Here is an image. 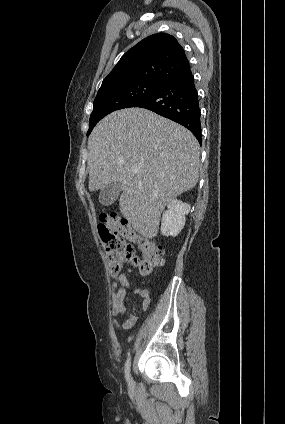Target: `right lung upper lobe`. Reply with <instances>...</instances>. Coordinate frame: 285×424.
<instances>
[{"label": "right lung upper lobe", "mask_w": 285, "mask_h": 424, "mask_svg": "<svg viewBox=\"0 0 285 424\" xmlns=\"http://www.w3.org/2000/svg\"><path fill=\"white\" fill-rule=\"evenodd\" d=\"M189 68L184 49L172 35H151L130 50L103 80L99 91L139 81L167 80Z\"/></svg>", "instance_id": "right-lung-upper-lobe-1"}]
</instances>
